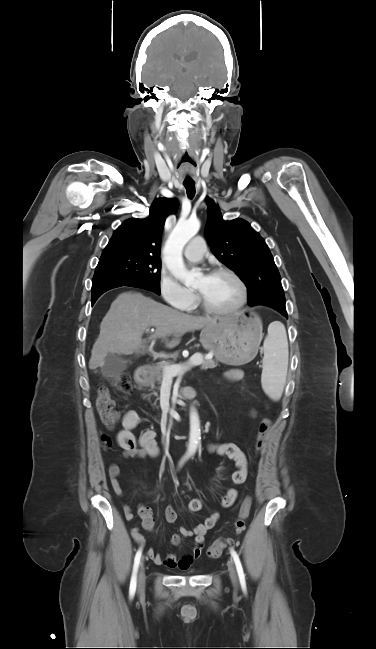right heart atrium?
<instances>
[{"label": "right heart atrium", "mask_w": 376, "mask_h": 649, "mask_svg": "<svg viewBox=\"0 0 376 649\" xmlns=\"http://www.w3.org/2000/svg\"><path fill=\"white\" fill-rule=\"evenodd\" d=\"M158 290L163 300L178 309L188 308L195 300L193 291L184 287L169 271L162 269Z\"/></svg>", "instance_id": "obj_1"}]
</instances>
